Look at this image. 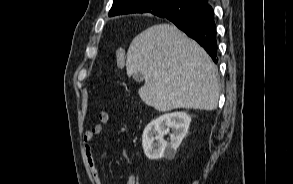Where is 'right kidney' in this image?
Listing matches in <instances>:
<instances>
[{
  "label": "right kidney",
  "mask_w": 293,
  "mask_h": 184,
  "mask_svg": "<svg viewBox=\"0 0 293 184\" xmlns=\"http://www.w3.org/2000/svg\"><path fill=\"white\" fill-rule=\"evenodd\" d=\"M190 122L191 117L185 112L167 113L151 121L142 135V146L146 157L149 160L173 159L188 132ZM167 134H170V141L163 138Z\"/></svg>",
  "instance_id": "ca27d5eb"
}]
</instances>
